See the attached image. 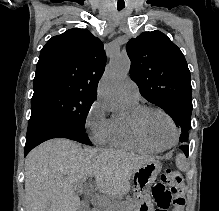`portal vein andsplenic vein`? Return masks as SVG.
Segmentation results:
<instances>
[{
	"label": "portal vein and splenic vein",
	"instance_id": "obj_1",
	"mask_svg": "<svg viewBox=\"0 0 219 211\" xmlns=\"http://www.w3.org/2000/svg\"><path fill=\"white\" fill-rule=\"evenodd\" d=\"M98 201H100V203H101V201H103V199H98ZM107 203H108V201H107ZM105 205H106V203H105ZM103 207H104V205H103Z\"/></svg>",
	"mask_w": 219,
	"mask_h": 211
}]
</instances>
